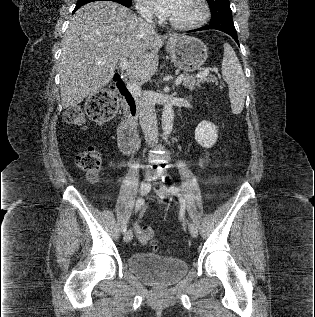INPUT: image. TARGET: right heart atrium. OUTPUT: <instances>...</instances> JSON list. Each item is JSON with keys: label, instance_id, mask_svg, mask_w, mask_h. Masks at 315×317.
I'll list each match as a JSON object with an SVG mask.
<instances>
[{"label": "right heart atrium", "instance_id": "d8ad5b80", "mask_svg": "<svg viewBox=\"0 0 315 317\" xmlns=\"http://www.w3.org/2000/svg\"><path fill=\"white\" fill-rule=\"evenodd\" d=\"M136 1V9L139 14L145 18H152L153 13L149 6L146 4L144 0H135Z\"/></svg>", "mask_w": 315, "mask_h": 317}]
</instances>
